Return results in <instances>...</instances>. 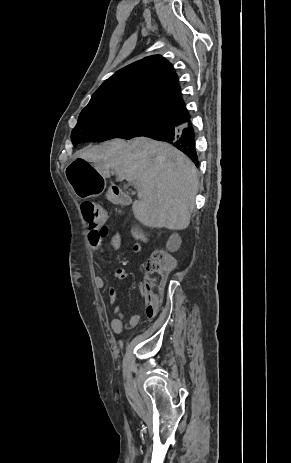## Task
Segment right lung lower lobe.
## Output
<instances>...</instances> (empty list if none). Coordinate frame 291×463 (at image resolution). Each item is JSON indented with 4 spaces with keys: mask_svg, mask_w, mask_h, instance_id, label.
Here are the masks:
<instances>
[{
    "mask_svg": "<svg viewBox=\"0 0 291 463\" xmlns=\"http://www.w3.org/2000/svg\"><path fill=\"white\" fill-rule=\"evenodd\" d=\"M165 120L168 123L167 126L145 134L144 137L172 144L184 152L198 167V156L195 148V132L192 123L189 121L186 124H182L177 119Z\"/></svg>",
    "mask_w": 291,
    "mask_h": 463,
    "instance_id": "obj_1",
    "label": "right lung lower lobe"
}]
</instances>
